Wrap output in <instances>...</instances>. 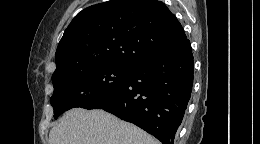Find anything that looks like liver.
Segmentation results:
<instances>
[{
	"label": "liver",
	"mask_w": 260,
	"mask_h": 144,
	"mask_svg": "<svg viewBox=\"0 0 260 144\" xmlns=\"http://www.w3.org/2000/svg\"><path fill=\"white\" fill-rule=\"evenodd\" d=\"M49 144H160L137 126L103 110L67 111L49 133Z\"/></svg>",
	"instance_id": "liver-1"
}]
</instances>
